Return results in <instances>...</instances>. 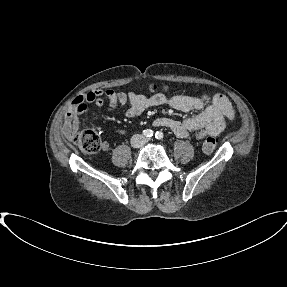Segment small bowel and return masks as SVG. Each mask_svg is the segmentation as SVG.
<instances>
[{
	"instance_id": "1",
	"label": "small bowel",
	"mask_w": 287,
	"mask_h": 287,
	"mask_svg": "<svg viewBox=\"0 0 287 287\" xmlns=\"http://www.w3.org/2000/svg\"><path fill=\"white\" fill-rule=\"evenodd\" d=\"M103 98L109 101L111 108L118 105L126 107L128 118L138 117L146 109L168 104L183 112L200 111L197 115L184 121L169 117H160L154 121L155 126L166 127L180 138H193L201 140L207 136H217L226 127L227 121L234 118V109L228 98L222 94L213 96L175 95L167 98L163 94L145 96L136 93L115 92L113 90H96L77 96L65 114L62 133L67 138L76 135L80 126V117L89 111L88 104L96 107L103 105ZM118 132L125 133L124 129ZM108 143L102 145L107 150Z\"/></svg>"
}]
</instances>
